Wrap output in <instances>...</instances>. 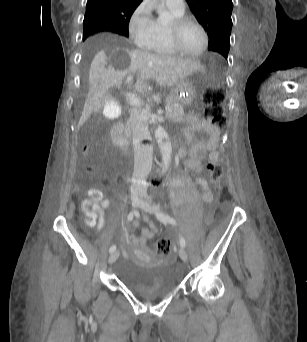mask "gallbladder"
Instances as JSON below:
<instances>
[{"mask_svg":"<svg viewBox=\"0 0 307 342\" xmlns=\"http://www.w3.org/2000/svg\"><path fill=\"white\" fill-rule=\"evenodd\" d=\"M104 107L106 109V118H119V112L122 108L121 103H117L114 99H108Z\"/></svg>","mask_w":307,"mask_h":342,"instance_id":"1","label":"gallbladder"}]
</instances>
